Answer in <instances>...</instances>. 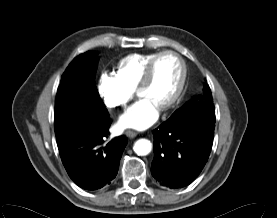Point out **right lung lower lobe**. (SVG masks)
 Instances as JSON below:
<instances>
[{
	"mask_svg": "<svg viewBox=\"0 0 277 218\" xmlns=\"http://www.w3.org/2000/svg\"><path fill=\"white\" fill-rule=\"evenodd\" d=\"M73 90L67 87L62 92L71 97L74 96ZM111 123L108 114L58 147L68 175L83 189H100L109 185L117 175L127 139L120 136L106 143Z\"/></svg>",
	"mask_w": 277,
	"mask_h": 218,
	"instance_id": "1",
	"label": "right lung lower lobe"
}]
</instances>
